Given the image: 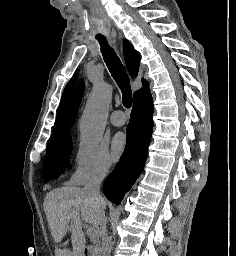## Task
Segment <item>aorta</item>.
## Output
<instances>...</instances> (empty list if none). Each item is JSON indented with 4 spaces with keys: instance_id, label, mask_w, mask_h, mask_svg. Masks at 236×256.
Here are the masks:
<instances>
[{
    "instance_id": "aorta-1",
    "label": "aorta",
    "mask_w": 236,
    "mask_h": 256,
    "mask_svg": "<svg viewBox=\"0 0 236 256\" xmlns=\"http://www.w3.org/2000/svg\"><path fill=\"white\" fill-rule=\"evenodd\" d=\"M111 99V85L106 83L94 85L80 123V134L84 142L95 144L102 139Z\"/></svg>"
}]
</instances>
